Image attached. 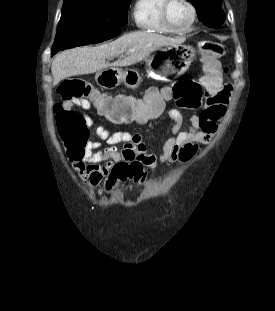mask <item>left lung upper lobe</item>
I'll return each instance as SVG.
<instances>
[{
    "instance_id": "1",
    "label": "left lung upper lobe",
    "mask_w": 275,
    "mask_h": 311,
    "mask_svg": "<svg viewBox=\"0 0 275 311\" xmlns=\"http://www.w3.org/2000/svg\"><path fill=\"white\" fill-rule=\"evenodd\" d=\"M198 12L200 21L208 27H219L225 21L222 0H187Z\"/></svg>"
}]
</instances>
